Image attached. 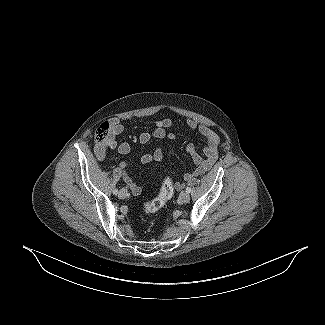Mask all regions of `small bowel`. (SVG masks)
Masks as SVG:
<instances>
[{
	"label": "small bowel",
	"mask_w": 325,
	"mask_h": 325,
	"mask_svg": "<svg viewBox=\"0 0 325 325\" xmlns=\"http://www.w3.org/2000/svg\"><path fill=\"white\" fill-rule=\"evenodd\" d=\"M187 127L190 131H198L204 139V153L205 158H203L197 151L193 144H189L186 147V152L191 156L195 169L192 172L186 173L185 178L190 179L195 175H200L207 172L216 162L218 158V145L219 137L207 126L199 125L193 119H187ZM108 134L106 138L95 145L94 152L99 160H104L107 150L114 149L117 150L121 155H127L130 152V144L128 142L118 143L116 138L122 135L125 131V127L120 119L113 118L108 122ZM174 127L172 120L165 118L158 120L155 123L154 128L151 132H142L139 135V141L143 144L147 143L152 137L159 139L161 141L165 140H175V135L168 132L169 129ZM164 159V149L163 146H158L152 153L145 154L141 158L143 164L159 163ZM130 163L123 161L120 163V169L122 170V178L127 186L130 188L134 195H139L141 193V188L134 182V180L127 174L126 169L129 167ZM177 188L181 187V184L176 185Z\"/></svg>",
	"instance_id": "1"
}]
</instances>
